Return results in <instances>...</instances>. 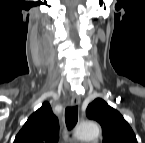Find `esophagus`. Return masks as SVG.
Listing matches in <instances>:
<instances>
[{
    "label": "esophagus",
    "instance_id": "obj_1",
    "mask_svg": "<svg viewBox=\"0 0 145 143\" xmlns=\"http://www.w3.org/2000/svg\"><path fill=\"white\" fill-rule=\"evenodd\" d=\"M81 102L80 96L78 94H73L71 98V105L72 106H77Z\"/></svg>",
    "mask_w": 145,
    "mask_h": 143
}]
</instances>
